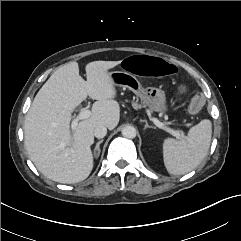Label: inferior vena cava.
I'll return each mask as SVG.
<instances>
[{"label": "inferior vena cava", "mask_w": 241, "mask_h": 241, "mask_svg": "<svg viewBox=\"0 0 241 241\" xmlns=\"http://www.w3.org/2000/svg\"><path fill=\"white\" fill-rule=\"evenodd\" d=\"M107 134V127L104 125H98L94 130V136L98 139L105 137Z\"/></svg>", "instance_id": "602c4592"}]
</instances>
